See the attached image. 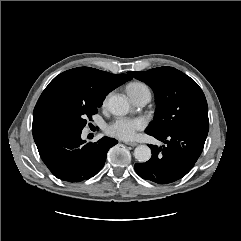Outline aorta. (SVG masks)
<instances>
[{
  "label": "aorta",
  "mask_w": 241,
  "mask_h": 241,
  "mask_svg": "<svg viewBox=\"0 0 241 241\" xmlns=\"http://www.w3.org/2000/svg\"><path fill=\"white\" fill-rule=\"evenodd\" d=\"M108 108L114 115L123 116L129 112L130 104L126 98L114 95L108 100ZM134 156L139 162H147L151 158V149L147 145H139L134 150Z\"/></svg>",
  "instance_id": "762f6f07"
}]
</instances>
